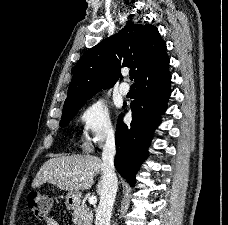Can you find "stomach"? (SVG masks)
Segmentation results:
<instances>
[{"label":"stomach","instance_id":"0dacf381","mask_svg":"<svg viewBox=\"0 0 228 225\" xmlns=\"http://www.w3.org/2000/svg\"><path fill=\"white\" fill-rule=\"evenodd\" d=\"M80 193H74V191H69L66 195V205L67 207H76L80 203Z\"/></svg>","mask_w":228,"mask_h":225}]
</instances>
